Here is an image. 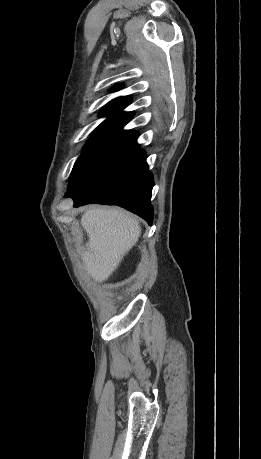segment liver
I'll return each mask as SVG.
<instances>
[{
    "label": "liver",
    "instance_id": "1",
    "mask_svg": "<svg viewBox=\"0 0 261 459\" xmlns=\"http://www.w3.org/2000/svg\"><path fill=\"white\" fill-rule=\"evenodd\" d=\"M81 225L89 238L81 254L87 273L95 281L107 280L138 242L139 221L116 208L95 207L82 215Z\"/></svg>",
    "mask_w": 261,
    "mask_h": 459
}]
</instances>
